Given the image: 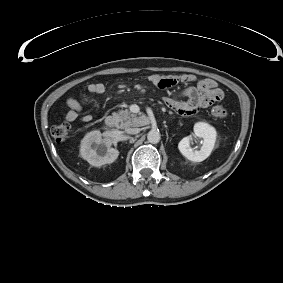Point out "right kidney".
<instances>
[{"label":"right kidney","mask_w":283,"mask_h":283,"mask_svg":"<svg viewBox=\"0 0 283 283\" xmlns=\"http://www.w3.org/2000/svg\"><path fill=\"white\" fill-rule=\"evenodd\" d=\"M111 144L109 133L104 137L98 130L91 131L81 141L80 154L92 166L110 164L119 155V151L111 148Z\"/></svg>","instance_id":"ca27d5eb"}]
</instances>
